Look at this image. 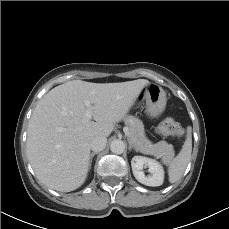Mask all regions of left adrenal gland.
I'll return each instance as SVG.
<instances>
[{"instance_id": "a2214340", "label": "left adrenal gland", "mask_w": 229, "mask_h": 229, "mask_svg": "<svg viewBox=\"0 0 229 229\" xmlns=\"http://www.w3.org/2000/svg\"><path fill=\"white\" fill-rule=\"evenodd\" d=\"M132 149H134L136 152H138V150L135 149L134 146L132 145V143L129 141V151H131Z\"/></svg>"}]
</instances>
